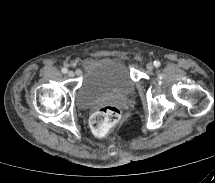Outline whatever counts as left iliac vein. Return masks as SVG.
<instances>
[{
  "mask_svg": "<svg viewBox=\"0 0 215 183\" xmlns=\"http://www.w3.org/2000/svg\"><path fill=\"white\" fill-rule=\"evenodd\" d=\"M153 68H154V66H153L152 63H148V64L146 65V69H147L148 71H152Z\"/></svg>",
  "mask_w": 215,
  "mask_h": 183,
  "instance_id": "obj_1",
  "label": "left iliac vein"
}]
</instances>
